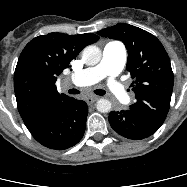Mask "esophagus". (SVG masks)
<instances>
[{
	"label": "esophagus",
	"instance_id": "34e87169",
	"mask_svg": "<svg viewBox=\"0 0 187 187\" xmlns=\"http://www.w3.org/2000/svg\"><path fill=\"white\" fill-rule=\"evenodd\" d=\"M99 99L98 96H90L88 98H86V102L88 105L93 104L95 101H97Z\"/></svg>",
	"mask_w": 187,
	"mask_h": 187
}]
</instances>
